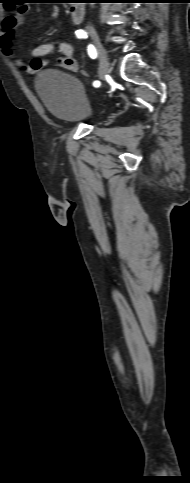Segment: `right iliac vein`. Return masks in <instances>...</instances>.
Segmentation results:
<instances>
[{
	"label": "right iliac vein",
	"mask_w": 190,
	"mask_h": 483,
	"mask_svg": "<svg viewBox=\"0 0 190 483\" xmlns=\"http://www.w3.org/2000/svg\"><path fill=\"white\" fill-rule=\"evenodd\" d=\"M90 35H91V37H92V39L95 43V46H96L98 53H99V56H100L99 78L104 79V77L108 74V72L110 70V65H109V61H108V58H107V52L104 49L97 32L94 29L90 30Z\"/></svg>",
	"instance_id": "obj_1"
}]
</instances>
